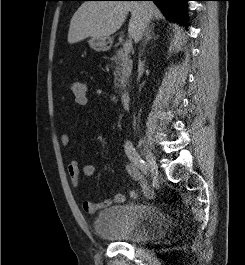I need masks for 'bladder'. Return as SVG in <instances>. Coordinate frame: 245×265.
Masks as SVG:
<instances>
[{"label":"bladder","instance_id":"31cf9c89","mask_svg":"<svg viewBox=\"0 0 245 265\" xmlns=\"http://www.w3.org/2000/svg\"><path fill=\"white\" fill-rule=\"evenodd\" d=\"M93 228L102 238L124 243L149 242L168 231L163 212L148 203L107 207L96 214Z\"/></svg>","mask_w":245,"mask_h":265}]
</instances>
